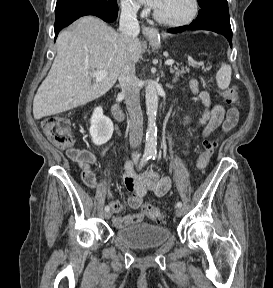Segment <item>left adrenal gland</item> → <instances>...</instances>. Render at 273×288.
Listing matches in <instances>:
<instances>
[{
  "label": "left adrenal gland",
  "instance_id": "1",
  "mask_svg": "<svg viewBox=\"0 0 273 288\" xmlns=\"http://www.w3.org/2000/svg\"><path fill=\"white\" fill-rule=\"evenodd\" d=\"M167 87L171 88L172 86H170L169 84H167Z\"/></svg>",
  "mask_w": 273,
  "mask_h": 288
}]
</instances>
